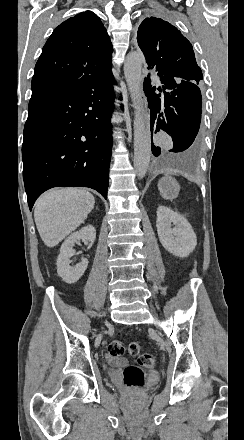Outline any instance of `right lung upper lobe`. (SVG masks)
I'll return each instance as SVG.
<instances>
[{
  "instance_id": "obj_1",
  "label": "right lung upper lobe",
  "mask_w": 244,
  "mask_h": 440,
  "mask_svg": "<svg viewBox=\"0 0 244 440\" xmlns=\"http://www.w3.org/2000/svg\"><path fill=\"white\" fill-rule=\"evenodd\" d=\"M112 43L100 18L85 11L60 24L43 47L32 91L77 81L111 69Z\"/></svg>"
}]
</instances>
